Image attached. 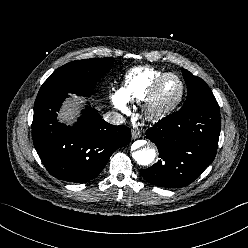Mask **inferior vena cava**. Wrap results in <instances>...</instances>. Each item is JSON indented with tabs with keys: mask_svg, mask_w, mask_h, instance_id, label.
Listing matches in <instances>:
<instances>
[{
	"mask_svg": "<svg viewBox=\"0 0 248 248\" xmlns=\"http://www.w3.org/2000/svg\"><path fill=\"white\" fill-rule=\"evenodd\" d=\"M104 120L112 125H121L125 122L123 115L117 112H108L104 115Z\"/></svg>",
	"mask_w": 248,
	"mask_h": 248,
	"instance_id": "1",
	"label": "inferior vena cava"
}]
</instances>
